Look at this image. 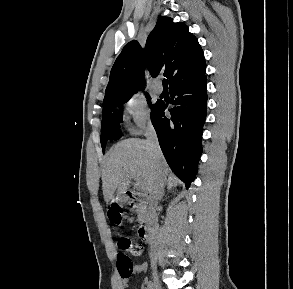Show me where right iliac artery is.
Masks as SVG:
<instances>
[{"label":"right iliac artery","mask_w":293,"mask_h":289,"mask_svg":"<svg viewBox=\"0 0 293 289\" xmlns=\"http://www.w3.org/2000/svg\"><path fill=\"white\" fill-rule=\"evenodd\" d=\"M147 289H153V283L152 281L147 282Z\"/></svg>","instance_id":"obj_1"}]
</instances>
